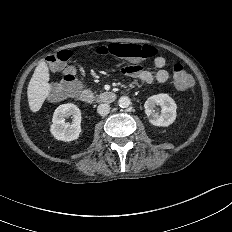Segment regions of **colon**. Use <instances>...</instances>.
I'll use <instances>...</instances> for the list:
<instances>
[{"label": "colon", "mask_w": 232, "mask_h": 232, "mask_svg": "<svg viewBox=\"0 0 232 232\" xmlns=\"http://www.w3.org/2000/svg\"><path fill=\"white\" fill-rule=\"evenodd\" d=\"M156 49L150 45H137L126 43H111L106 46H100L95 53L100 56L111 55L122 58L133 63L149 59L156 54ZM72 57L70 50H61L47 57V62L52 67H59L67 63ZM139 66V65H130ZM174 84L178 90L185 91L191 88L193 80L184 67L177 63L173 66ZM80 88V81L77 75V69L73 66H67L64 69V77L51 89V97L62 99L75 94Z\"/></svg>", "instance_id": "obj_1"}]
</instances>
